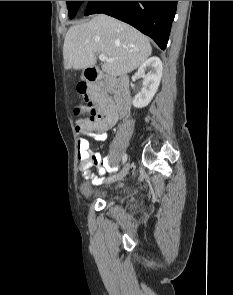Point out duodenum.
Masks as SVG:
<instances>
[{
  "label": "duodenum",
  "instance_id": "410a0bca",
  "mask_svg": "<svg viewBox=\"0 0 233 295\" xmlns=\"http://www.w3.org/2000/svg\"><path fill=\"white\" fill-rule=\"evenodd\" d=\"M101 76L102 75L100 71L95 67L89 68L86 72V78L89 81H97V78ZM122 81L124 82L123 79ZM115 102H116L117 110L120 114H125L129 111L130 96L127 89L124 86H120L119 90L117 91Z\"/></svg>",
  "mask_w": 233,
  "mask_h": 295
}]
</instances>
